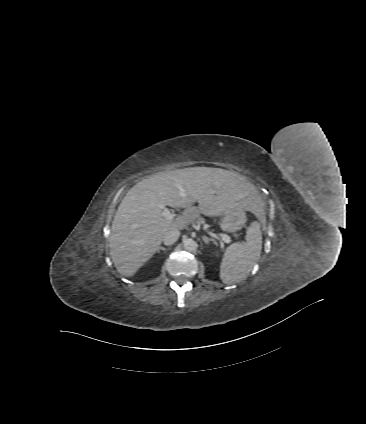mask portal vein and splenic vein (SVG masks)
Wrapping results in <instances>:
<instances>
[{
	"mask_svg": "<svg viewBox=\"0 0 366 424\" xmlns=\"http://www.w3.org/2000/svg\"><path fill=\"white\" fill-rule=\"evenodd\" d=\"M160 208L162 209V216L167 219V220H173L174 219V214L171 213L170 209L165 207L164 205H161ZM222 239L225 242H230L231 241V237L227 234H222Z\"/></svg>",
	"mask_w": 366,
	"mask_h": 424,
	"instance_id": "1",
	"label": "portal vein and splenic vein"
}]
</instances>
